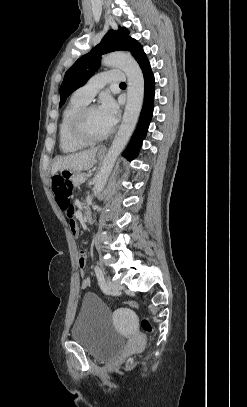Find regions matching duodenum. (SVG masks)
<instances>
[{
  "instance_id": "410a0bca",
  "label": "duodenum",
  "mask_w": 247,
  "mask_h": 407,
  "mask_svg": "<svg viewBox=\"0 0 247 407\" xmlns=\"http://www.w3.org/2000/svg\"><path fill=\"white\" fill-rule=\"evenodd\" d=\"M83 217L88 223L93 222V213H92V209L89 204L86 205V208L83 213Z\"/></svg>"
}]
</instances>
